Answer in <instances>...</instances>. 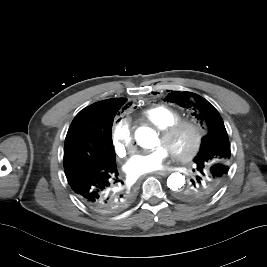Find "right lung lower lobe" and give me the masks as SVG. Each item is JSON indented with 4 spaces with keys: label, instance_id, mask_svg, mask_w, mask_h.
<instances>
[{
    "label": "right lung lower lobe",
    "instance_id": "98d812e1",
    "mask_svg": "<svg viewBox=\"0 0 267 267\" xmlns=\"http://www.w3.org/2000/svg\"><path fill=\"white\" fill-rule=\"evenodd\" d=\"M66 177L78 198L99 213H119L135 199L132 188L122 187L116 163L87 167Z\"/></svg>",
    "mask_w": 267,
    "mask_h": 267
}]
</instances>
